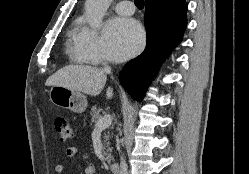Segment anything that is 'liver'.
Returning <instances> with one entry per match:
<instances>
[{
  "label": "liver",
  "instance_id": "1",
  "mask_svg": "<svg viewBox=\"0 0 249 174\" xmlns=\"http://www.w3.org/2000/svg\"><path fill=\"white\" fill-rule=\"evenodd\" d=\"M107 77L103 70L89 65H69L51 75L47 86H63L87 95L97 96L103 90ZM106 96L111 99L113 89L108 87Z\"/></svg>",
  "mask_w": 249,
  "mask_h": 174
}]
</instances>
